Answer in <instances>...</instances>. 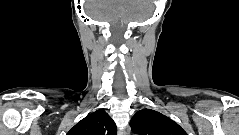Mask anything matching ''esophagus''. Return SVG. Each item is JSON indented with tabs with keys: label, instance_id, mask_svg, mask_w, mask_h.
Here are the masks:
<instances>
[{
	"label": "esophagus",
	"instance_id": "34e87169",
	"mask_svg": "<svg viewBox=\"0 0 239 135\" xmlns=\"http://www.w3.org/2000/svg\"><path fill=\"white\" fill-rule=\"evenodd\" d=\"M120 134L126 135V134H127V131H122V132H120Z\"/></svg>",
	"mask_w": 239,
	"mask_h": 135
}]
</instances>
